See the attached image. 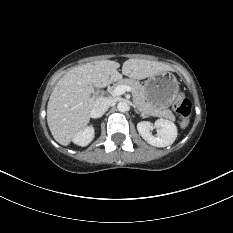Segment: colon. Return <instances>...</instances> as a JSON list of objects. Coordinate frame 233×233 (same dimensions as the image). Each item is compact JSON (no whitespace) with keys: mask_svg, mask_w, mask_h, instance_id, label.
Returning a JSON list of instances; mask_svg holds the SVG:
<instances>
[{"mask_svg":"<svg viewBox=\"0 0 233 233\" xmlns=\"http://www.w3.org/2000/svg\"><path fill=\"white\" fill-rule=\"evenodd\" d=\"M174 108L181 117V126L187 127L192 109L190 100L184 94H179L174 102Z\"/></svg>","mask_w":233,"mask_h":233,"instance_id":"obj_1","label":"colon"}]
</instances>
